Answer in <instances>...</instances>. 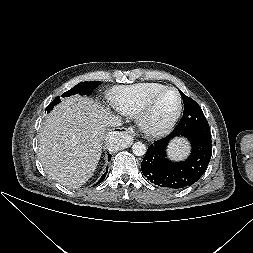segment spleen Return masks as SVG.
Masks as SVG:
<instances>
[{
  "label": "spleen",
  "mask_w": 253,
  "mask_h": 253,
  "mask_svg": "<svg viewBox=\"0 0 253 253\" xmlns=\"http://www.w3.org/2000/svg\"><path fill=\"white\" fill-rule=\"evenodd\" d=\"M187 146L182 141H176L170 145V155L173 158H181L186 154Z\"/></svg>",
  "instance_id": "obj_1"
}]
</instances>
